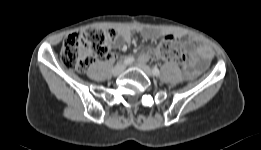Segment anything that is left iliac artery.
Returning <instances> with one entry per match:
<instances>
[{"label":"left iliac artery","instance_id":"left-iliac-artery-1","mask_svg":"<svg viewBox=\"0 0 261 150\" xmlns=\"http://www.w3.org/2000/svg\"><path fill=\"white\" fill-rule=\"evenodd\" d=\"M152 73H153L155 76H158V75L160 74V71H159V69H158L157 67H154V68L152 69Z\"/></svg>","mask_w":261,"mask_h":150}]
</instances>
